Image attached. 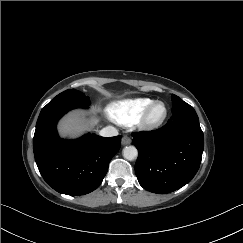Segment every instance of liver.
<instances>
[{
	"mask_svg": "<svg viewBox=\"0 0 243 243\" xmlns=\"http://www.w3.org/2000/svg\"><path fill=\"white\" fill-rule=\"evenodd\" d=\"M98 122L99 119L96 116L87 120L84 112L74 111L62 119L58 129L61 136L74 137L86 130H92Z\"/></svg>",
	"mask_w": 243,
	"mask_h": 243,
	"instance_id": "liver-1",
	"label": "liver"
}]
</instances>
